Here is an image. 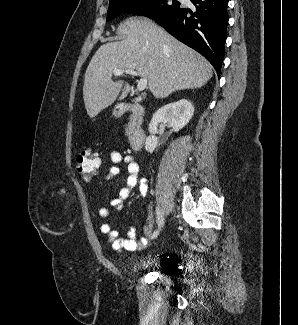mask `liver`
<instances>
[{
	"label": "liver",
	"mask_w": 298,
	"mask_h": 325,
	"mask_svg": "<svg viewBox=\"0 0 298 325\" xmlns=\"http://www.w3.org/2000/svg\"><path fill=\"white\" fill-rule=\"evenodd\" d=\"M124 40L106 42L92 56L84 74L83 100L90 118L131 90L126 80H113L116 68H133L147 78L155 98L174 90L200 88L213 74L212 66L199 52L176 40L149 18L131 16L118 28Z\"/></svg>",
	"instance_id": "liver-1"
}]
</instances>
